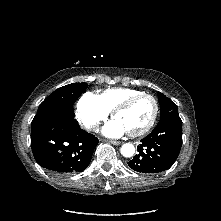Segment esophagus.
Wrapping results in <instances>:
<instances>
[{
    "instance_id": "esophagus-1",
    "label": "esophagus",
    "mask_w": 221,
    "mask_h": 221,
    "mask_svg": "<svg viewBox=\"0 0 221 221\" xmlns=\"http://www.w3.org/2000/svg\"><path fill=\"white\" fill-rule=\"evenodd\" d=\"M103 141H107V142H109L110 144H113V145H120L121 144L120 141H116V140H103Z\"/></svg>"
}]
</instances>
